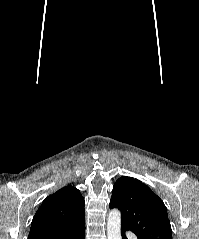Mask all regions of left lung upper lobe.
<instances>
[{"label":"left lung upper lobe","mask_w":199,"mask_h":239,"mask_svg":"<svg viewBox=\"0 0 199 239\" xmlns=\"http://www.w3.org/2000/svg\"><path fill=\"white\" fill-rule=\"evenodd\" d=\"M121 211V225L138 239H172L163 201L138 179L122 176L113 188L110 208Z\"/></svg>","instance_id":"left-lung-upper-lobe-1"}]
</instances>
